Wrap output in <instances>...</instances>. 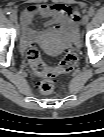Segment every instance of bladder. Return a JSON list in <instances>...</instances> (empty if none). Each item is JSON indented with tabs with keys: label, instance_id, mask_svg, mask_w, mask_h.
Instances as JSON below:
<instances>
[{
	"label": "bladder",
	"instance_id": "obj_1",
	"mask_svg": "<svg viewBox=\"0 0 104 137\" xmlns=\"http://www.w3.org/2000/svg\"><path fill=\"white\" fill-rule=\"evenodd\" d=\"M70 38L52 35L40 41L43 51L50 56H58L71 45Z\"/></svg>",
	"mask_w": 104,
	"mask_h": 137
}]
</instances>
